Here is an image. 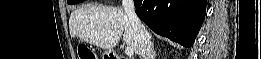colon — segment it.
I'll list each match as a JSON object with an SVG mask.
<instances>
[{
    "mask_svg": "<svg viewBox=\"0 0 261 59\" xmlns=\"http://www.w3.org/2000/svg\"><path fill=\"white\" fill-rule=\"evenodd\" d=\"M79 59H97L96 53L87 46H81L78 49Z\"/></svg>",
    "mask_w": 261,
    "mask_h": 59,
    "instance_id": "1",
    "label": "colon"
}]
</instances>
